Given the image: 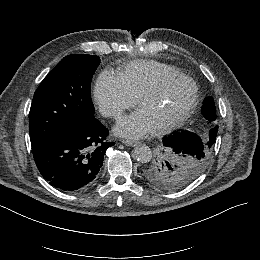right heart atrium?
<instances>
[{
    "instance_id": "obj_1",
    "label": "right heart atrium",
    "mask_w": 260,
    "mask_h": 260,
    "mask_svg": "<svg viewBox=\"0 0 260 260\" xmlns=\"http://www.w3.org/2000/svg\"><path fill=\"white\" fill-rule=\"evenodd\" d=\"M94 96L101 113L108 118H119L134 106L135 99L124 86L120 76L111 70L102 71L96 80Z\"/></svg>"
}]
</instances>
